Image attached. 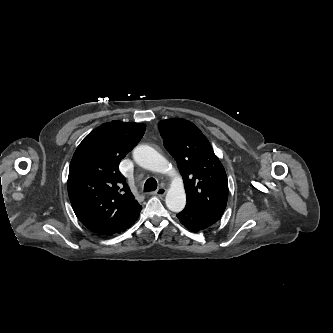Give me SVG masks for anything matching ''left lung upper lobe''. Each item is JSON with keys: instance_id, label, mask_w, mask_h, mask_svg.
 <instances>
[{"instance_id": "1", "label": "left lung upper lobe", "mask_w": 333, "mask_h": 333, "mask_svg": "<svg viewBox=\"0 0 333 333\" xmlns=\"http://www.w3.org/2000/svg\"><path fill=\"white\" fill-rule=\"evenodd\" d=\"M158 127L164 146L183 177L186 205L222 215L227 204L228 181L208 139L193 123L182 118L162 120Z\"/></svg>"}]
</instances>
